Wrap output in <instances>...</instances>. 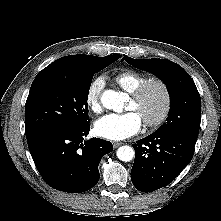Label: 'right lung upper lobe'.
<instances>
[{"label": "right lung upper lobe", "mask_w": 221, "mask_h": 221, "mask_svg": "<svg viewBox=\"0 0 221 221\" xmlns=\"http://www.w3.org/2000/svg\"><path fill=\"white\" fill-rule=\"evenodd\" d=\"M95 56L92 55H70L57 59L52 64L70 67H83L91 63Z\"/></svg>", "instance_id": "obj_1"}]
</instances>
